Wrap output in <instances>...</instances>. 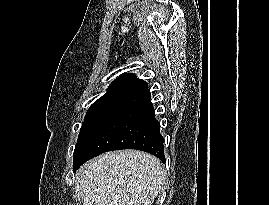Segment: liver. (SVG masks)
Instances as JSON below:
<instances>
[{"instance_id":"1","label":"liver","mask_w":269,"mask_h":205,"mask_svg":"<svg viewBox=\"0 0 269 205\" xmlns=\"http://www.w3.org/2000/svg\"><path fill=\"white\" fill-rule=\"evenodd\" d=\"M163 181L159 160L138 150L102 154L77 177L84 205H152Z\"/></svg>"}]
</instances>
